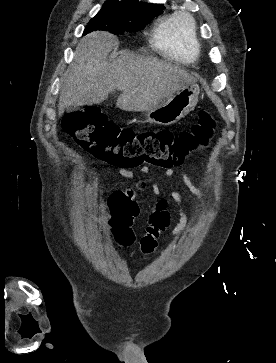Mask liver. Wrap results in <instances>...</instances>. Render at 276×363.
<instances>
[{"label": "liver", "mask_w": 276, "mask_h": 363, "mask_svg": "<svg viewBox=\"0 0 276 363\" xmlns=\"http://www.w3.org/2000/svg\"><path fill=\"white\" fill-rule=\"evenodd\" d=\"M117 45L114 35L102 31L80 40L61 79L59 116L69 107L99 104L114 90L122 92L116 103L121 110L148 111L195 81L178 65L129 51L108 60Z\"/></svg>", "instance_id": "1"}]
</instances>
